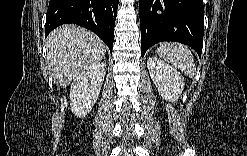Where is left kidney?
I'll use <instances>...</instances> for the list:
<instances>
[{"instance_id":"obj_1","label":"left kidney","mask_w":247,"mask_h":156,"mask_svg":"<svg viewBox=\"0 0 247 156\" xmlns=\"http://www.w3.org/2000/svg\"><path fill=\"white\" fill-rule=\"evenodd\" d=\"M147 67L160 95L165 100L176 102L185 85L181 73L157 57H149Z\"/></svg>"}]
</instances>
